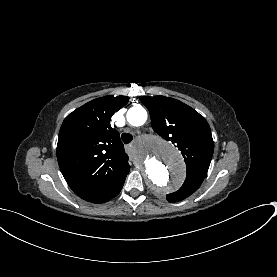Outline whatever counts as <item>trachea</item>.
I'll return each mask as SVG.
<instances>
[{"mask_svg": "<svg viewBox=\"0 0 277 277\" xmlns=\"http://www.w3.org/2000/svg\"><path fill=\"white\" fill-rule=\"evenodd\" d=\"M121 139L125 144H129L133 140V136L128 133H123Z\"/></svg>", "mask_w": 277, "mask_h": 277, "instance_id": "trachea-1", "label": "trachea"}]
</instances>
